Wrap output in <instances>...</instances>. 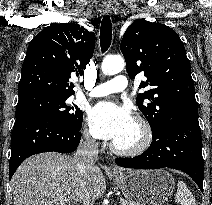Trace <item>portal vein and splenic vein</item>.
<instances>
[{
  "label": "portal vein and splenic vein",
  "instance_id": "1",
  "mask_svg": "<svg viewBox=\"0 0 212 205\" xmlns=\"http://www.w3.org/2000/svg\"><path fill=\"white\" fill-rule=\"evenodd\" d=\"M63 201H65V202H66V201H68V199H64Z\"/></svg>",
  "mask_w": 212,
  "mask_h": 205
}]
</instances>
